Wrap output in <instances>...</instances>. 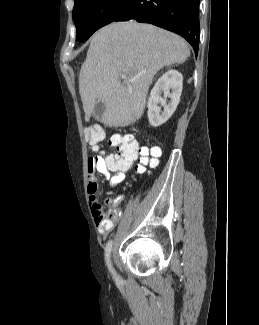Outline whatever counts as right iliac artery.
I'll list each match as a JSON object with an SVG mask.
<instances>
[{
    "label": "right iliac artery",
    "mask_w": 259,
    "mask_h": 325,
    "mask_svg": "<svg viewBox=\"0 0 259 325\" xmlns=\"http://www.w3.org/2000/svg\"><path fill=\"white\" fill-rule=\"evenodd\" d=\"M112 245H113V241L112 240L108 241V243L106 245V249H105V260H106V264H107L108 269L110 270L111 273L114 274V270L112 268L111 260H110Z\"/></svg>",
    "instance_id": "82829eb1"
}]
</instances>
